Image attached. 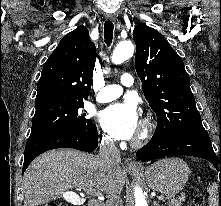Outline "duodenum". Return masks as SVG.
<instances>
[{
	"instance_id": "410a0bca",
	"label": "duodenum",
	"mask_w": 221,
	"mask_h": 206,
	"mask_svg": "<svg viewBox=\"0 0 221 206\" xmlns=\"http://www.w3.org/2000/svg\"><path fill=\"white\" fill-rule=\"evenodd\" d=\"M89 206H104V205L102 202L94 200L90 202Z\"/></svg>"
}]
</instances>
